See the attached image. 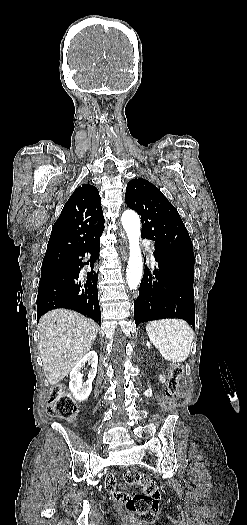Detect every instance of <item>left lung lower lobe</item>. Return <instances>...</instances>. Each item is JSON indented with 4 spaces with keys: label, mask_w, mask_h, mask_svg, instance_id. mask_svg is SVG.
<instances>
[{
    "label": "left lung lower lobe",
    "mask_w": 247,
    "mask_h": 525,
    "mask_svg": "<svg viewBox=\"0 0 247 525\" xmlns=\"http://www.w3.org/2000/svg\"><path fill=\"white\" fill-rule=\"evenodd\" d=\"M154 257L158 268L153 274L145 268L139 296L134 301L136 325L162 318H180L195 328L194 268L164 254L157 243Z\"/></svg>",
    "instance_id": "left-lung-lower-lobe-1"
}]
</instances>
